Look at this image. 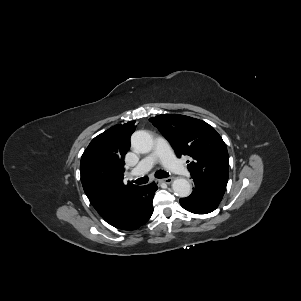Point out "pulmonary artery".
Returning <instances> with one entry per match:
<instances>
[{"label":"pulmonary artery","mask_w":301,"mask_h":301,"mask_svg":"<svg viewBox=\"0 0 301 301\" xmlns=\"http://www.w3.org/2000/svg\"><path fill=\"white\" fill-rule=\"evenodd\" d=\"M158 161L162 162L165 167L176 174H188V170L176 159L167 142L163 138H157L153 151L138 163L130 175L132 177L141 176L148 172Z\"/></svg>","instance_id":"obj_1"}]
</instances>
